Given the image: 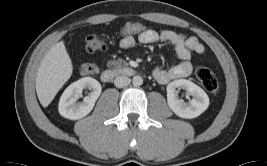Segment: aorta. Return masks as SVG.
I'll list each match as a JSON object with an SVG mask.
<instances>
[{
  "label": "aorta",
  "mask_w": 267,
  "mask_h": 166,
  "mask_svg": "<svg viewBox=\"0 0 267 166\" xmlns=\"http://www.w3.org/2000/svg\"><path fill=\"white\" fill-rule=\"evenodd\" d=\"M132 83H133V85L134 86H141L142 85V83H143V79H142V77L141 76H134L133 78H132Z\"/></svg>",
  "instance_id": "762f6f07"
}]
</instances>
